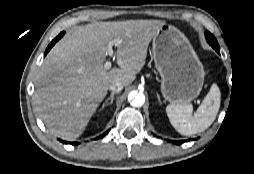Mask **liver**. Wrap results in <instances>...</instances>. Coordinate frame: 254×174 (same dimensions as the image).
<instances>
[{
	"label": "liver",
	"instance_id": "1",
	"mask_svg": "<svg viewBox=\"0 0 254 174\" xmlns=\"http://www.w3.org/2000/svg\"><path fill=\"white\" fill-rule=\"evenodd\" d=\"M161 20L94 22L62 38L44 59L36 77L33 102L53 135L75 140L85 130L110 84L130 85L144 67L149 43ZM120 68H104L105 48L113 40Z\"/></svg>",
	"mask_w": 254,
	"mask_h": 174
}]
</instances>
